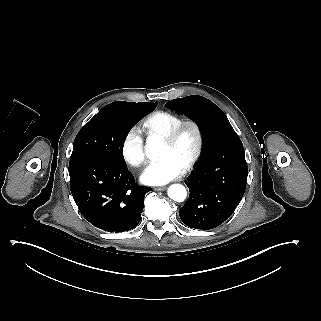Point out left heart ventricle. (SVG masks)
I'll return each instance as SVG.
<instances>
[{"mask_svg": "<svg viewBox=\"0 0 321 321\" xmlns=\"http://www.w3.org/2000/svg\"><path fill=\"white\" fill-rule=\"evenodd\" d=\"M163 155H174L184 168L196 146V134L193 128H187L176 146L163 140Z\"/></svg>", "mask_w": 321, "mask_h": 321, "instance_id": "left-heart-ventricle-1", "label": "left heart ventricle"}]
</instances>
